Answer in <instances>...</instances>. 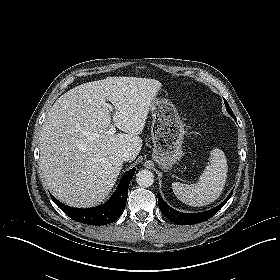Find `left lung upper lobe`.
Masks as SVG:
<instances>
[{
  "label": "left lung upper lobe",
  "mask_w": 280,
  "mask_h": 280,
  "mask_svg": "<svg viewBox=\"0 0 280 280\" xmlns=\"http://www.w3.org/2000/svg\"><path fill=\"white\" fill-rule=\"evenodd\" d=\"M224 103H225V106H226V110H227V112L231 115V117H232L233 119H235V120H236V118H235V115H234L233 111L231 110V108H230V106H229L228 102H227L225 99H224Z\"/></svg>",
  "instance_id": "5c2ea615"
}]
</instances>
